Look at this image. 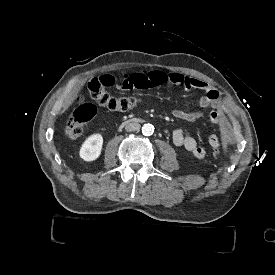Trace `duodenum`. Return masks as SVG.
<instances>
[{
	"label": "duodenum",
	"instance_id": "duodenum-1",
	"mask_svg": "<svg viewBox=\"0 0 275 275\" xmlns=\"http://www.w3.org/2000/svg\"><path fill=\"white\" fill-rule=\"evenodd\" d=\"M134 122H139V120H137V119H130V120H126L125 122H124V125H126V124H130V123H134Z\"/></svg>",
	"mask_w": 275,
	"mask_h": 275
}]
</instances>
